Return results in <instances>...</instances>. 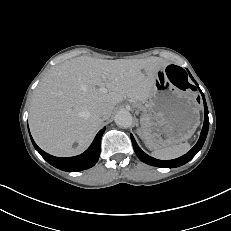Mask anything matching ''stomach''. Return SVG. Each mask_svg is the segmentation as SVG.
<instances>
[{"mask_svg":"<svg viewBox=\"0 0 231 231\" xmlns=\"http://www.w3.org/2000/svg\"><path fill=\"white\" fill-rule=\"evenodd\" d=\"M148 109L141 116L142 135L150 149L187 141L200 123V105L195 96L168 78L165 68L155 75Z\"/></svg>","mask_w":231,"mask_h":231,"instance_id":"0dacf381","label":"stomach"}]
</instances>
